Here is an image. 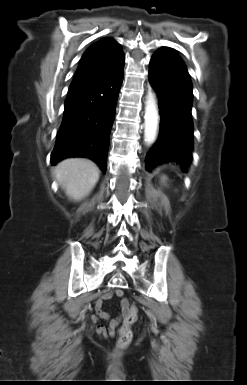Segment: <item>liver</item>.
<instances>
[{"mask_svg":"<svg viewBox=\"0 0 247 385\" xmlns=\"http://www.w3.org/2000/svg\"><path fill=\"white\" fill-rule=\"evenodd\" d=\"M54 173L66 195L75 201H80L95 187L100 172L91 160L70 158L59 163Z\"/></svg>","mask_w":247,"mask_h":385,"instance_id":"1","label":"liver"}]
</instances>
